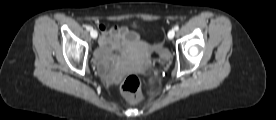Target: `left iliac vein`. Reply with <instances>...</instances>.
Listing matches in <instances>:
<instances>
[{
	"instance_id": "4c4485c4",
	"label": "left iliac vein",
	"mask_w": 276,
	"mask_h": 120,
	"mask_svg": "<svg viewBox=\"0 0 276 120\" xmlns=\"http://www.w3.org/2000/svg\"><path fill=\"white\" fill-rule=\"evenodd\" d=\"M174 36H175V31L172 29L168 32V38L173 39Z\"/></svg>"
}]
</instances>
